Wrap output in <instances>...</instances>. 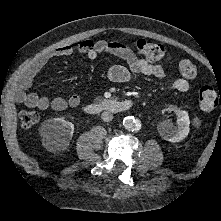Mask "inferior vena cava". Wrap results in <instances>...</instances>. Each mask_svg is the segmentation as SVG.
I'll return each instance as SVG.
<instances>
[{"label": "inferior vena cava", "instance_id": "obj_1", "mask_svg": "<svg viewBox=\"0 0 221 221\" xmlns=\"http://www.w3.org/2000/svg\"><path fill=\"white\" fill-rule=\"evenodd\" d=\"M101 119L105 122H109V121H112L113 119V114L110 113L109 111H104L102 114H101Z\"/></svg>", "mask_w": 221, "mask_h": 221}]
</instances>
